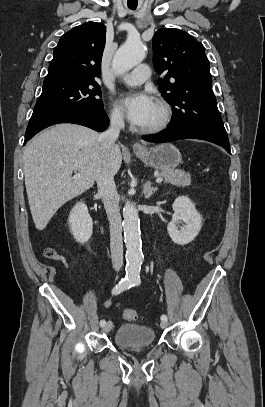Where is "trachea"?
<instances>
[{
  "label": "trachea",
  "instance_id": "obj_1",
  "mask_svg": "<svg viewBox=\"0 0 265 407\" xmlns=\"http://www.w3.org/2000/svg\"><path fill=\"white\" fill-rule=\"evenodd\" d=\"M130 9H132V10H135L136 9V7H129Z\"/></svg>",
  "mask_w": 265,
  "mask_h": 407
}]
</instances>
